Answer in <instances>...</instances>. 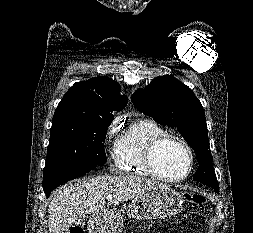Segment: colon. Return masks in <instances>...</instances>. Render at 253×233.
<instances>
[{"label":"colon","mask_w":253,"mask_h":233,"mask_svg":"<svg viewBox=\"0 0 253 233\" xmlns=\"http://www.w3.org/2000/svg\"><path fill=\"white\" fill-rule=\"evenodd\" d=\"M187 201L190 203L192 208H200L204 205L206 198L202 194L190 193L186 195ZM70 233H83V228L81 226H74Z\"/></svg>","instance_id":"colon-1"}]
</instances>
